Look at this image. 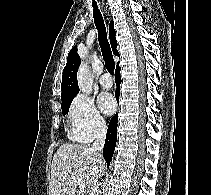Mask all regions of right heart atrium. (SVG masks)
Here are the masks:
<instances>
[{"label":"right heart atrium","mask_w":211,"mask_h":195,"mask_svg":"<svg viewBox=\"0 0 211 195\" xmlns=\"http://www.w3.org/2000/svg\"><path fill=\"white\" fill-rule=\"evenodd\" d=\"M71 137L80 142H90L106 130V121L91 98L78 95L69 110Z\"/></svg>","instance_id":"1"}]
</instances>
